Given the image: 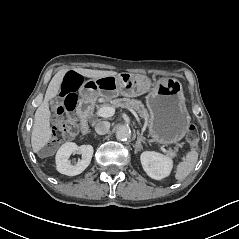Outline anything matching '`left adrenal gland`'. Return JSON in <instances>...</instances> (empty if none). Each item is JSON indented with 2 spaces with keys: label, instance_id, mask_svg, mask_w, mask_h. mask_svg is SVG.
<instances>
[{
  "label": "left adrenal gland",
  "instance_id": "a2214340",
  "mask_svg": "<svg viewBox=\"0 0 239 239\" xmlns=\"http://www.w3.org/2000/svg\"><path fill=\"white\" fill-rule=\"evenodd\" d=\"M137 135H138V138H137V142L135 144L136 150H138L141 147V144L144 142L142 137L140 136L139 131H137Z\"/></svg>",
  "mask_w": 239,
  "mask_h": 239
}]
</instances>
